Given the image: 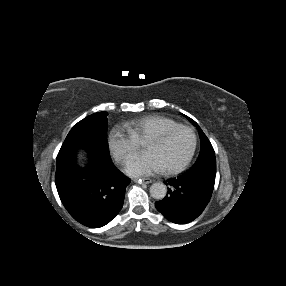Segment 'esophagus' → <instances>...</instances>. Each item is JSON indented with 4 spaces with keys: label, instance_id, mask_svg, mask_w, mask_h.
<instances>
[{
    "label": "esophagus",
    "instance_id": "34e87169",
    "mask_svg": "<svg viewBox=\"0 0 286 286\" xmlns=\"http://www.w3.org/2000/svg\"><path fill=\"white\" fill-rule=\"evenodd\" d=\"M135 182H138L139 184H149L152 183V179L150 178H141V179H134Z\"/></svg>",
    "mask_w": 286,
    "mask_h": 286
}]
</instances>
